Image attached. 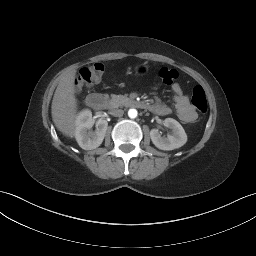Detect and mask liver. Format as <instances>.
I'll list each match as a JSON object with an SVG mask.
<instances>
[{"label": "liver", "mask_w": 256, "mask_h": 256, "mask_svg": "<svg viewBox=\"0 0 256 256\" xmlns=\"http://www.w3.org/2000/svg\"><path fill=\"white\" fill-rule=\"evenodd\" d=\"M76 70L65 74L53 96L51 114L56 128L65 136L73 138L76 131L77 99L75 97Z\"/></svg>", "instance_id": "6515ba94"}]
</instances>
